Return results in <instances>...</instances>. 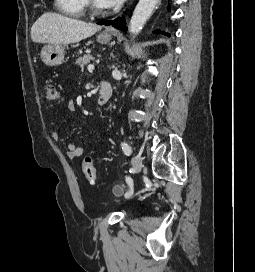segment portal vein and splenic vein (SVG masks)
I'll return each mask as SVG.
<instances>
[{"mask_svg":"<svg viewBox=\"0 0 255 272\" xmlns=\"http://www.w3.org/2000/svg\"><path fill=\"white\" fill-rule=\"evenodd\" d=\"M87 69H88V71H93L94 70V65H88V67H87Z\"/></svg>","mask_w":255,"mask_h":272,"instance_id":"portal-vein-and-splenic-vein-1","label":"portal vein and splenic vein"}]
</instances>
